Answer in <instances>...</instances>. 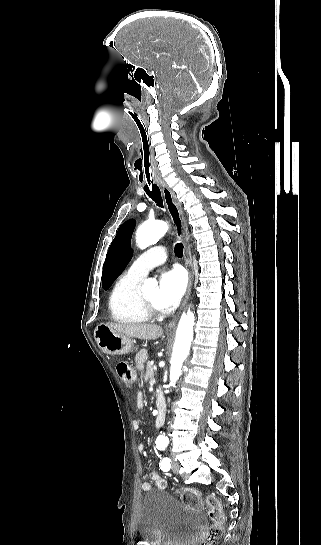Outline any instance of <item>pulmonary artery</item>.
Here are the masks:
<instances>
[{"label": "pulmonary artery", "mask_w": 321, "mask_h": 545, "mask_svg": "<svg viewBox=\"0 0 321 545\" xmlns=\"http://www.w3.org/2000/svg\"><path fill=\"white\" fill-rule=\"evenodd\" d=\"M167 253L165 250H156V248H150L147 251L136 256L134 261L128 268V272L132 275L143 278L148 271L154 266L160 265L165 262Z\"/></svg>", "instance_id": "e3ab8cb5"}]
</instances>
